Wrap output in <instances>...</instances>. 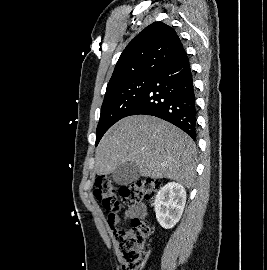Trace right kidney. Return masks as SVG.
Instances as JSON below:
<instances>
[{
  "mask_svg": "<svg viewBox=\"0 0 267 270\" xmlns=\"http://www.w3.org/2000/svg\"><path fill=\"white\" fill-rule=\"evenodd\" d=\"M186 203L185 188L169 182L157 193L154 203L156 218L165 229L172 228L181 218Z\"/></svg>",
  "mask_w": 267,
  "mask_h": 270,
  "instance_id": "right-kidney-1",
  "label": "right kidney"
}]
</instances>
